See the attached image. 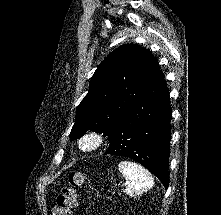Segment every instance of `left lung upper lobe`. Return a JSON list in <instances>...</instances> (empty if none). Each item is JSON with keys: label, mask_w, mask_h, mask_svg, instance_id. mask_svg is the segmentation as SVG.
Returning <instances> with one entry per match:
<instances>
[{"label": "left lung upper lobe", "mask_w": 221, "mask_h": 215, "mask_svg": "<svg viewBox=\"0 0 221 215\" xmlns=\"http://www.w3.org/2000/svg\"><path fill=\"white\" fill-rule=\"evenodd\" d=\"M150 51L125 44L110 53L95 71L89 92L79 104L70 138H80L87 130L112 132L125 113L159 73Z\"/></svg>", "instance_id": "left-lung-upper-lobe-1"}]
</instances>
